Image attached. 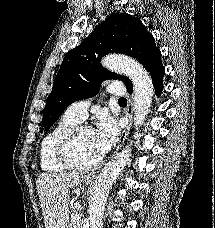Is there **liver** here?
<instances>
[{
	"label": "liver",
	"mask_w": 215,
	"mask_h": 228,
	"mask_svg": "<svg viewBox=\"0 0 215 228\" xmlns=\"http://www.w3.org/2000/svg\"><path fill=\"white\" fill-rule=\"evenodd\" d=\"M82 174H41L36 180L45 228H68L70 188L81 184Z\"/></svg>",
	"instance_id": "6515ba94"
}]
</instances>
